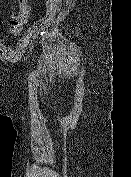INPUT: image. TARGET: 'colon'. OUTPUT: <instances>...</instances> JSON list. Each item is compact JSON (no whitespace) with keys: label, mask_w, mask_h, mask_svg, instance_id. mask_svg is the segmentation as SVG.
<instances>
[{"label":"colon","mask_w":131,"mask_h":177,"mask_svg":"<svg viewBox=\"0 0 131 177\" xmlns=\"http://www.w3.org/2000/svg\"><path fill=\"white\" fill-rule=\"evenodd\" d=\"M17 1L18 10L11 15L9 23V32L12 37H18L22 33L30 17V1Z\"/></svg>","instance_id":"colon-1"}]
</instances>
